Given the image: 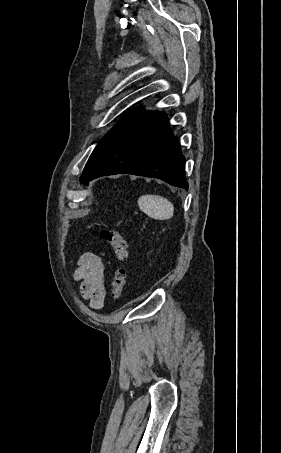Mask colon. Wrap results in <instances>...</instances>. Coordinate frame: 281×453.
I'll list each match as a JSON object with an SVG mask.
<instances>
[{
	"instance_id": "5ec220e1",
	"label": "colon",
	"mask_w": 281,
	"mask_h": 453,
	"mask_svg": "<svg viewBox=\"0 0 281 453\" xmlns=\"http://www.w3.org/2000/svg\"><path fill=\"white\" fill-rule=\"evenodd\" d=\"M102 237L109 243L116 259V266L110 280V297L113 301L120 300L125 292V269L123 263L126 258V240L122 233L114 229H103Z\"/></svg>"
}]
</instances>
